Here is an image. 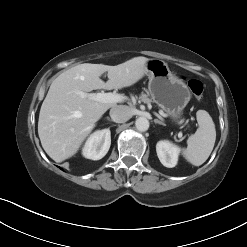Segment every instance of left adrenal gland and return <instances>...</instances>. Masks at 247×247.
I'll return each instance as SVG.
<instances>
[{
    "label": "left adrenal gland",
    "mask_w": 247,
    "mask_h": 247,
    "mask_svg": "<svg viewBox=\"0 0 247 247\" xmlns=\"http://www.w3.org/2000/svg\"><path fill=\"white\" fill-rule=\"evenodd\" d=\"M154 123L165 126V124L163 122L159 121L158 119H155Z\"/></svg>",
    "instance_id": "obj_1"
}]
</instances>
